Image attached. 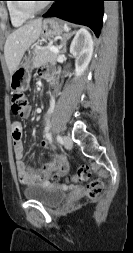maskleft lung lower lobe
I'll return each instance as SVG.
<instances>
[{"mask_svg":"<svg viewBox=\"0 0 133 253\" xmlns=\"http://www.w3.org/2000/svg\"><path fill=\"white\" fill-rule=\"evenodd\" d=\"M55 3L43 17L63 20L90 27L98 37L103 22L105 0H53Z\"/></svg>","mask_w":133,"mask_h":253,"instance_id":"obj_1","label":"left lung lower lobe"}]
</instances>
